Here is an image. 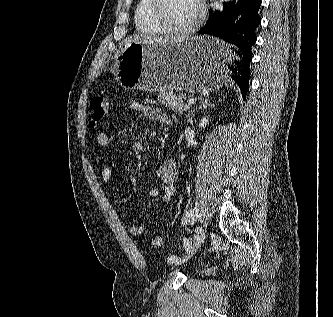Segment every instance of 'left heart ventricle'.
<instances>
[{
	"label": "left heart ventricle",
	"instance_id": "left-heart-ventricle-1",
	"mask_svg": "<svg viewBox=\"0 0 333 317\" xmlns=\"http://www.w3.org/2000/svg\"><path fill=\"white\" fill-rule=\"evenodd\" d=\"M197 13L196 0H163L162 15L174 27L189 26L195 20Z\"/></svg>",
	"mask_w": 333,
	"mask_h": 317
}]
</instances>
